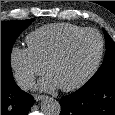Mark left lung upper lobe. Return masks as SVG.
<instances>
[{
	"instance_id": "obj_1",
	"label": "left lung upper lobe",
	"mask_w": 115,
	"mask_h": 115,
	"mask_svg": "<svg viewBox=\"0 0 115 115\" xmlns=\"http://www.w3.org/2000/svg\"><path fill=\"white\" fill-rule=\"evenodd\" d=\"M104 35L106 42V53L104 61L99 70L84 86L115 78V43L105 30Z\"/></svg>"
}]
</instances>
